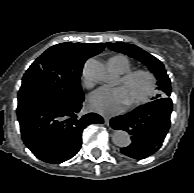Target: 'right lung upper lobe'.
<instances>
[{"label": "right lung upper lobe", "instance_id": "cb5924a9", "mask_svg": "<svg viewBox=\"0 0 194 193\" xmlns=\"http://www.w3.org/2000/svg\"><path fill=\"white\" fill-rule=\"evenodd\" d=\"M104 43H61L46 50L27 71L53 75L67 71H81L87 58L99 54Z\"/></svg>", "mask_w": 194, "mask_h": 193}]
</instances>
